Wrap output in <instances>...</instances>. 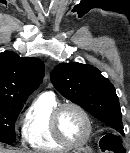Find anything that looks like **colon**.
<instances>
[{
  "mask_svg": "<svg viewBox=\"0 0 130 153\" xmlns=\"http://www.w3.org/2000/svg\"><path fill=\"white\" fill-rule=\"evenodd\" d=\"M101 151L103 153H124V147L118 137L108 134L102 138Z\"/></svg>",
  "mask_w": 130,
  "mask_h": 153,
  "instance_id": "5ec220e1",
  "label": "colon"
}]
</instances>
